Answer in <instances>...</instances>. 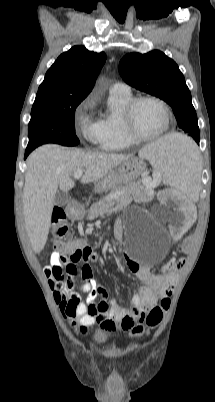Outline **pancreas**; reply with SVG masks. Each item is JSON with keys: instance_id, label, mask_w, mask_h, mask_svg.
<instances>
[{"instance_id": "1", "label": "pancreas", "mask_w": 215, "mask_h": 402, "mask_svg": "<svg viewBox=\"0 0 215 402\" xmlns=\"http://www.w3.org/2000/svg\"><path fill=\"white\" fill-rule=\"evenodd\" d=\"M152 188V185H144L141 184V182H136L112 189L111 194L103 197L90 207L87 218L89 220H94L98 217L110 215L113 212H119L132 202L137 192H145ZM117 193L121 194L117 196Z\"/></svg>"}]
</instances>
